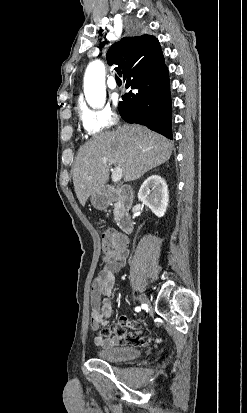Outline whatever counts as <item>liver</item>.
<instances>
[{
  "label": "liver",
  "instance_id": "6515ba94",
  "mask_svg": "<svg viewBox=\"0 0 247 413\" xmlns=\"http://www.w3.org/2000/svg\"><path fill=\"white\" fill-rule=\"evenodd\" d=\"M172 144L168 138L140 124H123L113 130L98 132L81 144L74 160L73 182L81 204L93 192H100L109 180L111 158L121 166L124 180H136L144 172L170 158Z\"/></svg>",
  "mask_w": 247,
  "mask_h": 413
}]
</instances>
